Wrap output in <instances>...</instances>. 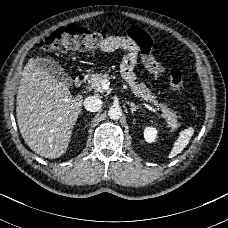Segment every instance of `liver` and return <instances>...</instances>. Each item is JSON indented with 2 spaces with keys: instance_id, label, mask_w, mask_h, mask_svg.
I'll return each instance as SVG.
<instances>
[{
  "instance_id": "obj_1",
  "label": "liver",
  "mask_w": 228,
  "mask_h": 228,
  "mask_svg": "<svg viewBox=\"0 0 228 228\" xmlns=\"http://www.w3.org/2000/svg\"><path fill=\"white\" fill-rule=\"evenodd\" d=\"M38 59L39 56L30 58L22 72L17 122L22 138L33 152L57 159L68 150L84 98H72L63 82L38 65Z\"/></svg>"
}]
</instances>
